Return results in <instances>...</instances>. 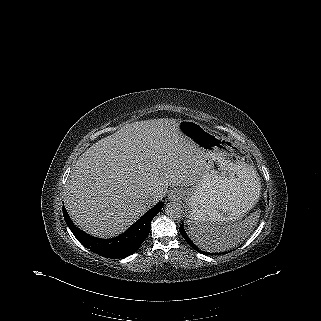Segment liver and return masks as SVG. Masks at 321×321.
Instances as JSON below:
<instances>
[{"mask_svg": "<svg viewBox=\"0 0 321 321\" xmlns=\"http://www.w3.org/2000/svg\"><path fill=\"white\" fill-rule=\"evenodd\" d=\"M174 119L137 121L89 147L65 187V207L87 233L107 238L124 232L168 187L196 184L205 169L201 151ZM176 146L175 152L167 147Z\"/></svg>", "mask_w": 321, "mask_h": 321, "instance_id": "liver-1", "label": "liver"}]
</instances>
